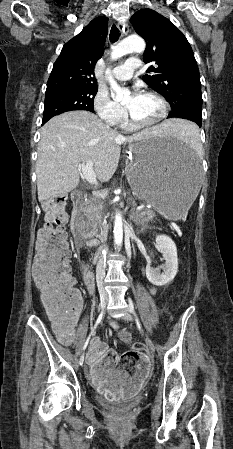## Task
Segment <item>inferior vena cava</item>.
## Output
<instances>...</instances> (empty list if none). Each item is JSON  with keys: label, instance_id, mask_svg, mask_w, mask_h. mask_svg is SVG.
<instances>
[{"label": "inferior vena cava", "instance_id": "602c4592", "mask_svg": "<svg viewBox=\"0 0 233 449\" xmlns=\"http://www.w3.org/2000/svg\"><path fill=\"white\" fill-rule=\"evenodd\" d=\"M104 275H105L104 266L102 263H99L96 268V278L102 279Z\"/></svg>", "mask_w": 233, "mask_h": 449}]
</instances>
